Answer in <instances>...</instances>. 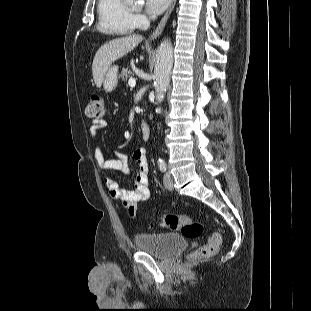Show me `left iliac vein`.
<instances>
[{
	"label": "left iliac vein",
	"instance_id": "1",
	"mask_svg": "<svg viewBox=\"0 0 311 311\" xmlns=\"http://www.w3.org/2000/svg\"><path fill=\"white\" fill-rule=\"evenodd\" d=\"M163 183L167 190H173V179L169 172L164 174Z\"/></svg>",
	"mask_w": 311,
	"mask_h": 311
}]
</instances>
